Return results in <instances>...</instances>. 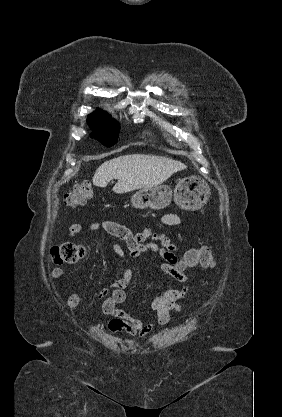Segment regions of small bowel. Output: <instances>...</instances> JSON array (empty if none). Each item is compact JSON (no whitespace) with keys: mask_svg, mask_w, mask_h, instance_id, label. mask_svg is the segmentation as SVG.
Here are the masks:
<instances>
[{"mask_svg":"<svg viewBox=\"0 0 282 417\" xmlns=\"http://www.w3.org/2000/svg\"><path fill=\"white\" fill-rule=\"evenodd\" d=\"M160 223L166 226H179L182 224V217L176 213H166L161 216ZM90 231H103L108 235L123 240L128 249V255L132 258H139L146 252L157 253L163 261H152L150 264L159 268L184 283L181 289H166L159 293L151 303L154 319L142 321L128 312L117 307L126 300L125 289L130 284L133 272L129 267V259L123 247L114 243L111 251L126 267L121 277L108 289L102 290L98 298L103 300L102 312L112 319L108 323V330L112 333L125 332L130 337L144 339L152 332L155 325L164 326L172 321L171 313L179 312V302L185 300L189 295L188 277L184 270L178 268L177 247L170 239L152 228H144L138 232H132L126 226L112 220H101L90 224ZM82 231L80 223H73L69 227V236L75 237ZM183 271L184 277L177 278L176 272ZM66 275L63 268L56 267L50 272V278L57 280ZM83 295L72 293L65 303L69 308L77 307L83 301Z\"/></svg>","mask_w":282,"mask_h":417,"instance_id":"small-bowel-1","label":"small bowel"}]
</instances>
